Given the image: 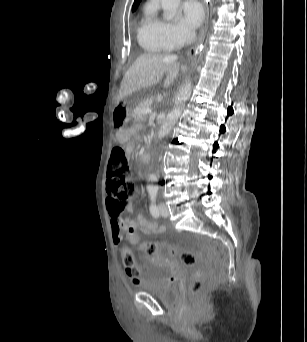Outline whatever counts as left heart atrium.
Returning a JSON list of instances; mask_svg holds the SVG:
<instances>
[{
  "mask_svg": "<svg viewBox=\"0 0 307 342\" xmlns=\"http://www.w3.org/2000/svg\"><path fill=\"white\" fill-rule=\"evenodd\" d=\"M204 19V10L196 1L186 3L182 8L181 26L184 42H189L195 30L200 26Z\"/></svg>",
  "mask_w": 307,
  "mask_h": 342,
  "instance_id": "39dd6f15",
  "label": "left heart atrium"
}]
</instances>
